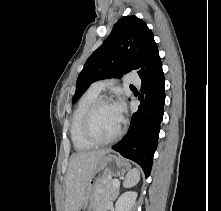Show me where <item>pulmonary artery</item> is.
Here are the masks:
<instances>
[{
    "instance_id": "1",
    "label": "pulmonary artery",
    "mask_w": 221,
    "mask_h": 211,
    "mask_svg": "<svg viewBox=\"0 0 221 211\" xmlns=\"http://www.w3.org/2000/svg\"><path fill=\"white\" fill-rule=\"evenodd\" d=\"M125 82L132 85H139L141 80L140 78L134 74V73H128L125 75ZM112 84V82L109 81H97L92 85V88L97 90L98 92H101L104 90V88L108 85Z\"/></svg>"
}]
</instances>
